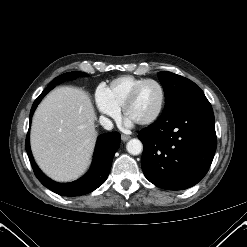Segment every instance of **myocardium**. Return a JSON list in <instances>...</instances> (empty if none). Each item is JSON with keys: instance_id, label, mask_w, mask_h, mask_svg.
Listing matches in <instances>:
<instances>
[{"instance_id": "1", "label": "myocardium", "mask_w": 247, "mask_h": 247, "mask_svg": "<svg viewBox=\"0 0 247 247\" xmlns=\"http://www.w3.org/2000/svg\"><path fill=\"white\" fill-rule=\"evenodd\" d=\"M148 83H153V84L158 86V88L160 89V92H161V100H160L159 107H158L157 111L154 113V115L151 116L150 118L138 123L139 125H143V126L150 125V124H153L154 122H156L160 118L161 114L164 111L165 104H166V90L160 81L155 80V79H145V80L141 81L132 89V91L130 92V94L128 95V97L126 98V100L122 106L123 114L125 116H127V111L129 109V107L136 100L140 90Z\"/></svg>"}]
</instances>
